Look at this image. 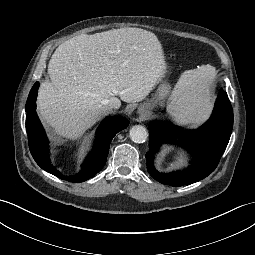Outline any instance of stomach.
Returning <instances> with one entry per match:
<instances>
[{
    "instance_id": "0dacf381",
    "label": "stomach",
    "mask_w": 255,
    "mask_h": 255,
    "mask_svg": "<svg viewBox=\"0 0 255 255\" xmlns=\"http://www.w3.org/2000/svg\"><path fill=\"white\" fill-rule=\"evenodd\" d=\"M170 92L171 86L166 81H162L155 94H153L152 97L144 103V105H146L148 109H153L157 106L162 107L164 106L165 100L169 96Z\"/></svg>"
}]
</instances>
